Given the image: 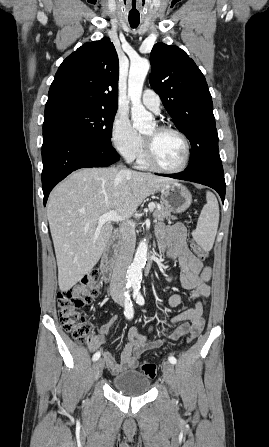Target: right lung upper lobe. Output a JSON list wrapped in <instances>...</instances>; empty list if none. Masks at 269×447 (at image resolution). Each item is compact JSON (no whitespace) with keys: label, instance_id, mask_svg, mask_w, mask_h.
I'll return each instance as SVG.
<instances>
[{"label":"right lung upper lobe","instance_id":"1","mask_svg":"<svg viewBox=\"0 0 269 447\" xmlns=\"http://www.w3.org/2000/svg\"><path fill=\"white\" fill-rule=\"evenodd\" d=\"M118 77V56L110 39L85 43L61 63L45 114L68 106L117 108Z\"/></svg>","mask_w":269,"mask_h":447}]
</instances>
